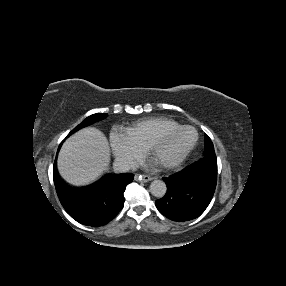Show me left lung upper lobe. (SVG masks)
<instances>
[{"label": "left lung upper lobe", "mask_w": 286, "mask_h": 286, "mask_svg": "<svg viewBox=\"0 0 286 286\" xmlns=\"http://www.w3.org/2000/svg\"><path fill=\"white\" fill-rule=\"evenodd\" d=\"M211 153H215L214 146H213V143H212L211 139L209 138V136L206 135V137H205L204 156L208 155V154H211Z\"/></svg>", "instance_id": "obj_1"}]
</instances>
